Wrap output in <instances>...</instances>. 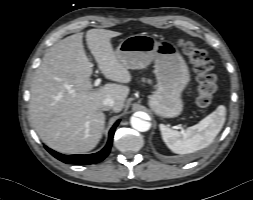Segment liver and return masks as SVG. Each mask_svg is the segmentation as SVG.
<instances>
[{
	"instance_id": "obj_1",
	"label": "liver",
	"mask_w": 253,
	"mask_h": 200,
	"mask_svg": "<svg viewBox=\"0 0 253 200\" xmlns=\"http://www.w3.org/2000/svg\"><path fill=\"white\" fill-rule=\"evenodd\" d=\"M119 32L90 29L86 42L104 76L117 83L94 89L93 63L83 46V34L70 35L45 53L31 84L30 120L41 140L64 154L88 152L99 143L105 125L103 101H115L120 112L129 94L132 76L118 61L110 42Z\"/></svg>"
}]
</instances>
